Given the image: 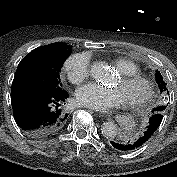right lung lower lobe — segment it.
<instances>
[{
    "mask_svg": "<svg viewBox=\"0 0 177 177\" xmlns=\"http://www.w3.org/2000/svg\"><path fill=\"white\" fill-rule=\"evenodd\" d=\"M62 94L31 89H11V104L18 126L30 137L44 138L56 134L67 122Z\"/></svg>",
    "mask_w": 177,
    "mask_h": 177,
    "instance_id": "98d812e1",
    "label": "right lung lower lobe"
}]
</instances>
